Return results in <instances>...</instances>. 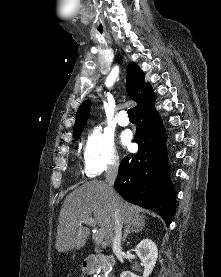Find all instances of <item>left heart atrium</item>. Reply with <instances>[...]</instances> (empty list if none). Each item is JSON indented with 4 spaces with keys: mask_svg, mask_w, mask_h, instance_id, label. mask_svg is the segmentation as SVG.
<instances>
[{
    "mask_svg": "<svg viewBox=\"0 0 221 277\" xmlns=\"http://www.w3.org/2000/svg\"><path fill=\"white\" fill-rule=\"evenodd\" d=\"M123 142H124V144H126V145H130V136L129 135H124L123 136Z\"/></svg>",
    "mask_w": 221,
    "mask_h": 277,
    "instance_id": "1",
    "label": "left heart atrium"
}]
</instances>
